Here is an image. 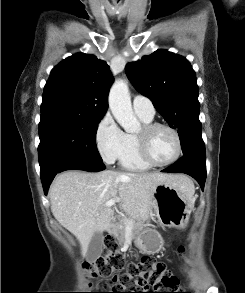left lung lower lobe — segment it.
<instances>
[{
  "instance_id": "obj_1",
  "label": "left lung lower lobe",
  "mask_w": 245,
  "mask_h": 293,
  "mask_svg": "<svg viewBox=\"0 0 245 293\" xmlns=\"http://www.w3.org/2000/svg\"><path fill=\"white\" fill-rule=\"evenodd\" d=\"M162 172H181L192 176L200 185L202 191L206 180V158L195 155H184L176 163Z\"/></svg>"
}]
</instances>
